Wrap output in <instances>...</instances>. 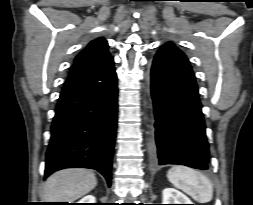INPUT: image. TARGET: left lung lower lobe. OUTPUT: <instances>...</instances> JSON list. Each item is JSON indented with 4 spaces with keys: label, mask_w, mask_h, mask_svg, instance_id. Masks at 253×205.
Masks as SVG:
<instances>
[{
    "label": "left lung lower lobe",
    "mask_w": 253,
    "mask_h": 205,
    "mask_svg": "<svg viewBox=\"0 0 253 205\" xmlns=\"http://www.w3.org/2000/svg\"><path fill=\"white\" fill-rule=\"evenodd\" d=\"M150 79L154 161L207 170L209 149L202 106L187 57L173 43L164 44L154 57Z\"/></svg>",
    "instance_id": "1"
}]
</instances>
